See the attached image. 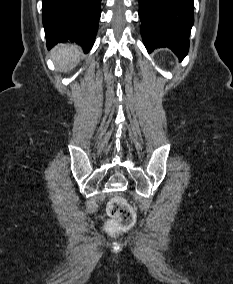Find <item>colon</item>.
I'll return each instance as SVG.
<instances>
[{
	"label": "colon",
	"mask_w": 233,
	"mask_h": 284,
	"mask_svg": "<svg viewBox=\"0 0 233 284\" xmlns=\"http://www.w3.org/2000/svg\"><path fill=\"white\" fill-rule=\"evenodd\" d=\"M108 214L116 228H127L135 221L133 209L121 197H115L109 201Z\"/></svg>",
	"instance_id": "1"
}]
</instances>
